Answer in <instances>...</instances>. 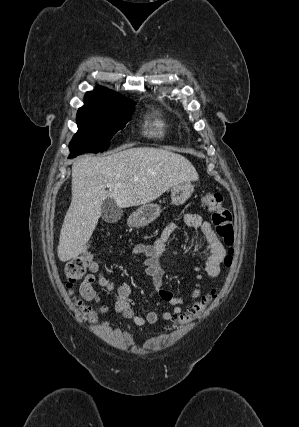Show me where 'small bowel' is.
Wrapping results in <instances>:
<instances>
[{
    "label": "small bowel",
    "instance_id": "1",
    "mask_svg": "<svg viewBox=\"0 0 299 427\" xmlns=\"http://www.w3.org/2000/svg\"><path fill=\"white\" fill-rule=\"evenodd\" d=\"M183 220L186 225L201 230L210 248V255L205 260L203 267H195L196 283L190 292V298L196 300L202 293V273L204 272L210 278H217L221 271L220 266L226 256V249L218 239L211 224L205 221L200 214L187 213L184 215ZM176 228L177 224L171 222L161 231L152 243H138L132 250L134 255L143 257V271L146 275L151 277L154 285L152 295L159 294L162 299L167 301L171 305L170 311H164L161 314L151 311L144 317L139 316L133 308L131 286L128 283H122L116 286L103 274L99 273L101 265L100 259L92 262L90 273L85 276L80 285L79 292L82 298L86 301L102 303L104 299L94 288V284L97 283L100 287L107 290L116 289V297L110 303L123 319L131 320L138 326L155 324L160 318L164 321H171L176 318L182 311L183 299L162 287V257L166 252L168 241Z\"/></svg>",
    "mask_w": 299,
    "mask_h": 427
}]
</instances>
